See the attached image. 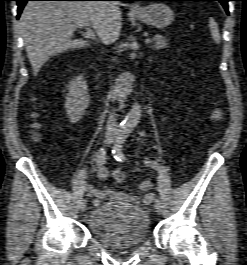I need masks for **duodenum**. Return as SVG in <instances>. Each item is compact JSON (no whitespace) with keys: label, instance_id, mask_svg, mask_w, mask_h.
I'll list each match as a JSON object with an SVG mask.
<instances>
[{"label":"duodenum","instance_id":"obj_1","mask_svg":"<svg viewBox=\"0 0 247 265\" xmlns=\"http://www.w3.org/2000/svg\"><path fill=\"white\" fill-rule=\"evenodd\" d=\"M133 77L129 72H124L119 77L117 84L111 91L112 100L116 103H122L132 91Z\"/></svg>","mask_w":247,"mask_h":265}]
</instances>
